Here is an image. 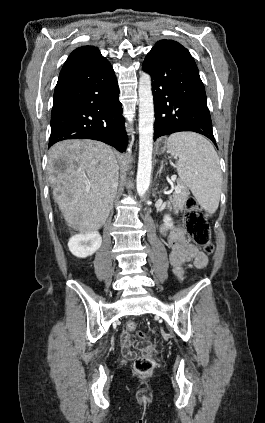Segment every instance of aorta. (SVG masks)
I'll use <instances>...</instances> for the list:
<instances>
[{"label": "aorta", "instance_id": "1", "mask_svg": "<svg viewBox=\"0 0 265 423\" xmlns=\"http://www.w3.org/2000/svg\"><path fill=\"white\" fill-rule=\"evenodd\" d=\"M152 82L148 73L139 79V160L136 179L137 193L143 197L149 188L152 170L154 104Z\"/></svg>", "mask_w": 265, "mask_h": 423}]
</instances>
